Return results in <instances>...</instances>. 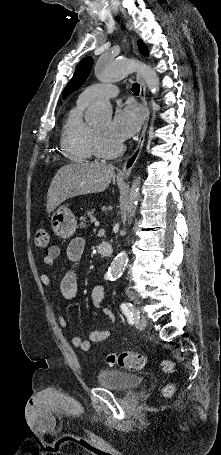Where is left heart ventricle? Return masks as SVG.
Wrapping results in <instances>:
<instances>
[{"instance_id":"1","label":"left heart ventricle","mask_w":221,"mask_h":455,"mask_svg":"<svg viewBox=\"0 0 221 455\" xmlns=\"http://www.w3.org/2000/svg\"><path fill=\"white\" fill-rule=\"evenodd\" d=\"M110 123V119H106L93 126L99 133L101 141L105 147H112L119 142L110 134Z\"/></svg>"}]
</instances>
